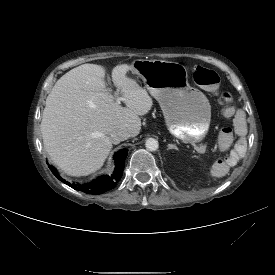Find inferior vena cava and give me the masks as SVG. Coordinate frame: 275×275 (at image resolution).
Instances as JSON below:
<instances>
[{"mask_svg": "<svg viewBox=\"0 0 275 275\" xmlns=\"http://www.w3.org/2000/svg\"><path fill=\"white\" fill-rule=\"evenodd\" d=\"M130 137V133L126 128H118L111 133L113 143L118 144Z\"/></svg>", "mask_w": 275, "mask_h": 275, "instance_id": "602c4592", "label": "inferior vena cava"}]
</instances>
